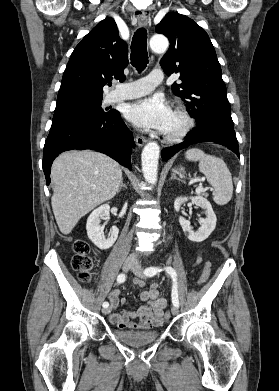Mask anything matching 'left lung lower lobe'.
<instances>
[{
    "mask_svg": "<svg viewBox=\"0 0 279 391\" xmlns=\"http://www.w3.org/2000/svg\"><path fill=\"white\" fill-rule=\"evenodd\" d=\"M200 142H216L228 147L240 157L234 127L220 121L207 120L188 132L182 143L163 149L161 152L162 159L167 161L181 149Z\"/></svg>",
    "mask_w": 279,
    "mask_h": 391,
    "instance_id": "0a47b994",
    "label": "left lung lower lobe"
}]
</instances>
